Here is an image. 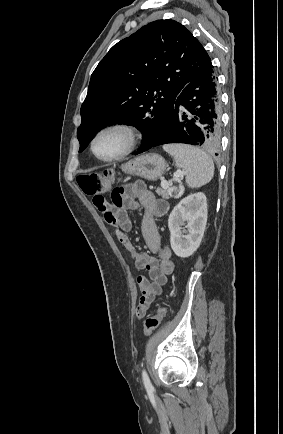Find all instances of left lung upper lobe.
Listing matches in <instances>:
<instances>
[{
  "instance_id": "5c2ea615",
  "label": "left lung upper lobe",
  "mask_w": 283,
  "mask_h": 434,
  "mask_svg": "<svg viewBox=\"0 0 283 434\" xmlns=\"http://www.w3.org/2000/svg\"><path fill=\"white\" fill-rule=\"evenodd\" d=\"M212 66L202 44L174 20H157L115 44L91 75L77 130L82 152L110 124H127L152 144L178 95Z\"/></svg>"
}]
</instances>
